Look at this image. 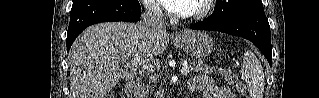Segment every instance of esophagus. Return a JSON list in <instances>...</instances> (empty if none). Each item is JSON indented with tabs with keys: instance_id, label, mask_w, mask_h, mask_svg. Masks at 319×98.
I'll use <instances>...</instances> for the list:
<instances>
[{
	"instance_id": "esophagus-1",
	"label": "esophagus",
	"mask_w": 319,
	"mask_h": 98,
	"mask_svg": "<svg viewBox=\"0 0 319 98\" xmlns=\"http://www.w3.org/2000/svg\"><path fill=\"white\" fill-rule=\"evenodd\" d=\"M176 38H181L183 36L182 32H176L175 33Z\"/></svg>"
}]
</instances>
